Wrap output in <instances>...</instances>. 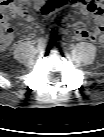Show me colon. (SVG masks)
<instances>
[{
  "label": "colon",
  "mask_w": 104,
  "mask_h": 137,
  "mask_svg": "<svg viewBox=\"0 0 104 137\" xmlns=\"http://www.w3.org/2000/svg\"><path fill=\"white\" fill-rule=\"evenodd\" d=\"M67 0H5L3 3V13H16L20 11H25L29 9L32 5L38 4L40 11L47 15L56 10L58 7L66 3ZM100 2V0H99ZM5 15L2 16L0 20L1 24V35L0 40L7 33L13 32L12 27L6 26L3 23Z\"/></svg>",
  "instance_id": "1"
}]
</instances>
